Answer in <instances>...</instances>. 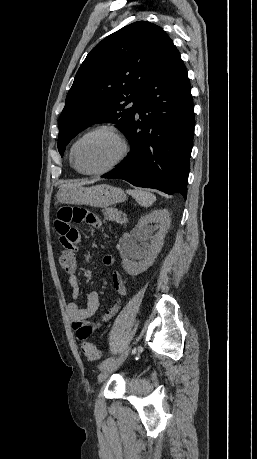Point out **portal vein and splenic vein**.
<instances>
[{
    "instance_id": "portal-vein-and-splenic-vein-1",
    "label": "portal vein and splenic vein",
    "mask_w": 257,
    "mask_h": 459,
    "mask_svg": "<svg viewBox=\"0 0 257 459\" xmlns=\"http://www.w3.org/2000/svg\"><path fill=\"white\" fill-rule=\"evenodd\" d=\"M124 220H126V216H125V214H124Z\"/></svg>"
}]
</instances>
